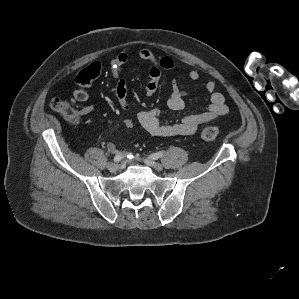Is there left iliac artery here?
Returning <instances> with one entry per match:
<instances>
[{
	"label": "left iliac artery",
	"instance_id": "44dca946",
	"mask_svg": "<svg viewBox=\"0 0 299 299\" xmlns=\"http://www.w3.org/2000/svg\"><path fill=\"white\" fill-rule=\"evenodd\" d=\"M163 154H164V152L163 151H160V152H157V153H153L150 157L152 158V159H159V158H161L162 156H163Z\"/></svg>",
	"mask_w": 299,
	"mask_h": 299
}]
</instances>
